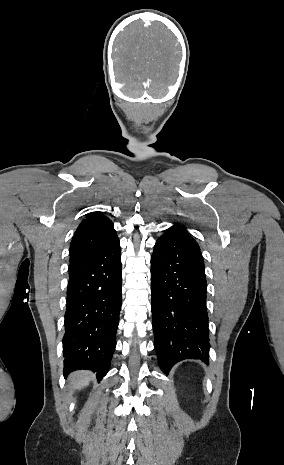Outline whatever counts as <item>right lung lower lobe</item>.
I'll list each match as a JSON object with an SVG mask.
<instances>
[{
    "label": "right lung lower lobe",
    "mask_w": 284,
    "mask_h": 465,
    "mask_svg": "<svg viewBox=\"0 0 284 465\" xmlns=\"http://www.w3.org/2000/svg\"><path fill=\"white\" fill-rule=\"evenodd\" d=\"M121 253L118 237L69 265L64 374L89 369L101 379L116 346L121 309Z\"/></svg>",
    "instance_id": "right-lung-lower-lobe-1"
}]
</instances>
